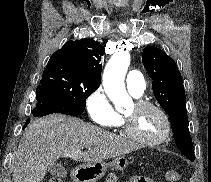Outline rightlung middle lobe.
Instances as JSON below:
<instances>
[{"instance_id":"1","label":"right lung middle lobe","mask_w":211,"mask_h":182,"mask_svg":"<svg viewBox=\"0 0 211 182\" xmlns=\"http://www.w3.org/2000/svg\"><path fill=\"white\" fill-rule=\"evenodd\" d=\"M40 83L37 96L53 97L80 114L85 109L86 99L100 86L55 66L44 70Z\"/></svg>"}]
</instances>
